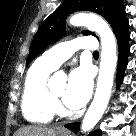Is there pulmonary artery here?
<instances>
[{
    "label": "pulmonary artery",
    "instance_id": "e3ab8cb5",
    "mask_svg": "<svg viewBox=\"0 0 136 136\" xmlns=\"http://www.w3.org/2000/svg\"><path fill=\"white\" fill-rule=\"evenodd\" d=\"M98 43L94 37H80L74 40L62 42L43 53L40 60L51 67L57 69L64 61L70 58L79 49L95 51Z\"/></svg>",
    "mask_w": 136,
    "mask_h": 136
}]
</instances>
